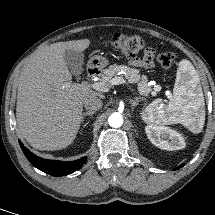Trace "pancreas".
Instances as JSON below:
<instances>
[{"instance_id":"1","label":"pancreas","mask_w":215,"mask_h":215,"mask_svg":"<svg viewBox=\"0 0 215 215\" xmlns=\"http://www.w3.org/2000/svg\"><path fill=\"white\" fill-rule=\"evenodd\" d=\"M124 72L127 79L131 83H135L138 86V91L141 95H152L155 96L158 91L161 90L159 85L154 86V89L148 84V79L145 75H140L139 69L131 68L125 65H110L107 69L103 71L101 81L106 85H110L112 79L117 74Z\"/></svg>"}]
</instances>
